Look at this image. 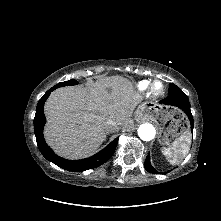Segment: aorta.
<instances>
[{"mask_svg": "<svg viewBox=\"0 0 221 221\" xmlns=\"http://www.w3.org/2000/svg\"><path fill=\"white\" fill-rule=\"evenodd\" d=\"M156 131L152 124L145 123L139 126L138 135L143 141H151L155 137Z\"/></svg>", "mask_w": 221, "mask_h": 221, "instance_id": "obj_1", "label": "aorta"}]
</instances>
